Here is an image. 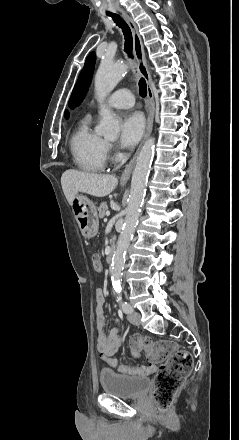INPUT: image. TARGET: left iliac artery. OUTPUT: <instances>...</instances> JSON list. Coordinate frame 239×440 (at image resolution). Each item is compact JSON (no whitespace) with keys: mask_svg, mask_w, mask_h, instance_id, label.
I'll return each mask as SVG.
<instances>
[{"mask_svg":"<svg viewBox=\"0 0 239 440\" xmlns=\"http://www.w3.org/2000/svg\"><path fill=\"white\" fill-rule=\"evenodd\" d=\"M115 291L117 292L118 296H117V301L119 302V305L121 307V309L123 310L124 313L129 314L132 312V307L130 306V304H128L127 302H124L122 300V295H121V287H116Z\"/></svg>","mask_w":239,"mask_h":440,"instance_id":"obj_1","label":"left iliac artery"}]
</instances>
